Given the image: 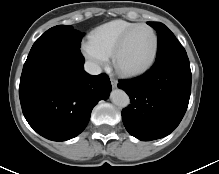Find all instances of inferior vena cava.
<instances>
[{
  "label": "inferior vena cava",
  "instance_id": "inferior-vena-cava-1",
  "mask_svg": "<svg viewBox=\"0 0 219 174\" xmlns=\"http://www.w3.org/2000/svg\"><path fill=\"white\" fill-rule=\"evenodd\" d=\"M84 68L85 71L91 75H98L102 72L101 67L92 61H86L84 64Z\"/></svg>",
  "mask_w": 219,
  "mask_h": 174
}]
</instances>
